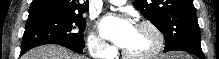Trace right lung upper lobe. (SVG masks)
Returning <instances> with one entry per match:
<instances>
[{
    "mask_svg": "<svg viewBox=\"0 0 219 59\" xmlns=\"http://www.w3.org/2000/svg\"><path fill=\"white\" fill-rule=\"evenodd\" d=\"M88 9V0L83 4H80L79 0H33L29 12L47 11L58 14H82Z\"/></svg>",
    "mask_w": 219,
    "mask_h": 59,
    "instance_id": "obj_1",
    "label": "right lung upper lobe"
}]
</instances>
